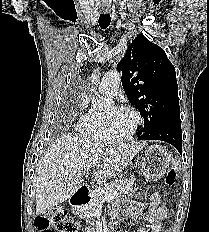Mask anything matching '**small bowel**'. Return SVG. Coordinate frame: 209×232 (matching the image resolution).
I'll return each mask as SVG.
<instances>
[{
  "label": "small bowel",
  "instance_id": "obj_1",
  "mask_svg": "<svg viewBox=\"0 0 209 232\" xmlns=\"http://www.w3.org/2000/svg\"><path fill=\"white\" fill-rule=\"evenodd\" d=\"M131 191V198L134 199L135 203H141L142 199L145 198L144 191L145 185H134ZM133 211L132 207H128L126 212L131 214ZM116 215L115 212L112 213ZM167 217V208L161 203L160 195L158 192H153L149 198V202L146 207L145 219L147 221L146 228L140 229L137 232H161V223ZM89 232V231H87Z\"/></svg>",
  "mask_w": 209,
  "mask_h": 232
}]
</instances>
